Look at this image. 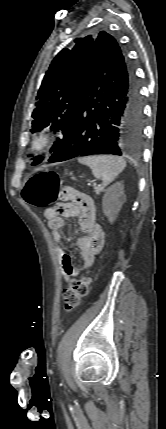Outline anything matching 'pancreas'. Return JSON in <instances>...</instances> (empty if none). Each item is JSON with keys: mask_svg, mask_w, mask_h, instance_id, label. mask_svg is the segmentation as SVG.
Segmentation results:
<instances>
[{"mask_svg": "<svg viewBox=\"0 0 166 429\" xmlns=\"http://www.w3.org/2000/svg\"><path fill=\"white\" fill-rule=\"evenodd\" d=\"M102 190H103V188H102V187H95V188H94V192H95L96 194H99Z\"/></svg>", "mask_w": 166, "mask_h": 429, "instance_id": "1", "label": "pancreas"}]
</instances>
